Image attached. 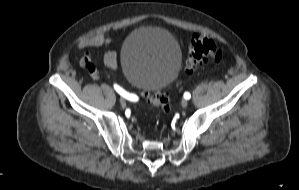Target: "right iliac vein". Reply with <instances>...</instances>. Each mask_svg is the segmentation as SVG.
Wrapping results in <instances>:
<instances>
[{
  "mask_svg": "<svg viewBox=\"0 0 299 190\" xmlns=\"http://www.w3.org/2000/svg\"><path fill=\"white\" fill-rule=\"evenodd\" d=\"M120 104H121L122 106H125V105H126V100L123 99V98H121V99H120Z\"/></svg>",
  "mask_w": 299,
  "mask_h": 190,
  "instance_id": "right-iliac-vein-1",
  "label": "right iliac vein"
}]
</instances>
